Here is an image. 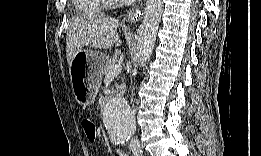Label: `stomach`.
<instances>
[{
	"mask_svg": "<svg viewBox=\"0 0 261 156\" xmlns=\"http://www.w3.org/2000/svg\"><path fill=\"white\" fill-rule=\"evenodd\" d=\"M106 59L105 54L86 50H81L74 56L70 76L75 98L81 105L89 106L94 103L101 84V69ZM80 63L82 67H79Z\"/></svg>",
	"mask_w": 261,
	"mask_h": 156,
	"instance_id": "stomach-1",
	"label": "stomach"
}]
</instances>
